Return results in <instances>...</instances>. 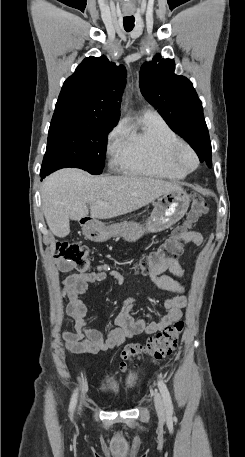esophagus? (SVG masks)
I'll return each mask as SVG.
<instances>
[{
  "instance_id": "obj_1",
  "label": "esophagus",
  "mask_w": 245,
  "mask_h": 457,
  "mask_svg": "<svg viewBox=\"0 0 245 457\" xmlns=\"http://www.w3.org/2000/svg\"><path fill=\"white\" fill-rule=\"evenodd\" d=\"M125 15H132V12H130V13H125Z\"/></svg>"
}]
</instances>
